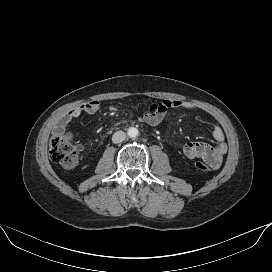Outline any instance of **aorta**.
Instances as JSON below:
<instances>
[{
  "mask_svg": "<svg viewBox=\"0 0 272 272\" xmlns=\"http://www.w3.org/2000/svg\"><path fill=\"white\" fill-rule=\"evenodd\" d=\"M138 129L135 127H130L127 131V134L130 138H136L138 136Z\"/></svg>",
  "mask_w": 272,
  "mask_h": 272,
  "instance_id": "1",
  "label": "aorta"
}]
</instances>
